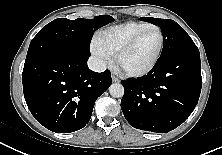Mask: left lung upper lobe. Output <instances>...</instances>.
<instances>
[{"label":"left lung upper lobe","mask_w":222,"mask_h":155,"mask_svg":"<svg viewBox=\"0 0 222 155\" xmlns=\"http://www.w3.org/2000/svg\"><path fill=\"white\" fill-rule=\"evenodd\" d=\"M141 19L158 25L162 30L164 44L160 58L178 52H199L187 32L175 21L151 17Z\"/></svg>","instance_id":"obj_1"}]
</instances>
